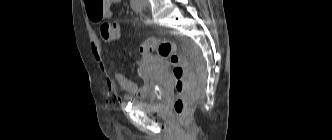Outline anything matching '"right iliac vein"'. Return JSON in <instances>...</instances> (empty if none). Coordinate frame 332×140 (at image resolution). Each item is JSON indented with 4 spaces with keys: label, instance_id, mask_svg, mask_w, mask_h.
Masks as SVG:
<instances>
[{
    "label": "right iliac vein",
    "instance_id": "1",
    "mask_svg": "<svg viewBox=\"0 0 332 140\" xmlns=\"http://www.w3.org/2000/svg\"><path fill=\"white\" fill-rule=\"evenodd\" d=\"M142 5H148V0H139Z\"/></svg>",
    "mask_w": 332,
    "mask_h": 140
}]
</instances>
